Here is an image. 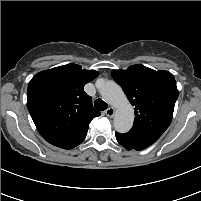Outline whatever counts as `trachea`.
Listing matches in <instances>:
<instances>
[{
  "label": "trachea",
  "mask_w": 201,
  "mask_h": 201,
  "mask_svg": "<svg viewBox=\"0 0 201 201\" xmlns=\"http://www.w3.org/2000/svg\"><path fill=\"white\" fill-rule=\"evenodd\" d=\"M94 106H95L96 109H98L100 111H104V110H106L108 108L107 103H105L100 98L95 100Z\"/></svg>",
  "instance_id": "trachea-1"
}]
</instances>
